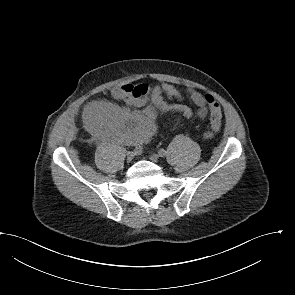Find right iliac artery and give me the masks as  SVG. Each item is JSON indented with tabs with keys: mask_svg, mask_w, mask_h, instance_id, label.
I'll list each match as a JSON object with an SVG mask.
<instances>
[{
	"mask_svg": "<svg viewBox=\"0 0 295 295\" xmlns=\"http://www.w3.org/2000/svg\"><path fill=\"white\" fill-rule=\"evenodd\" d=\"M135 152L136 153H141L142 152V146L141 145H136L135 146Z\"/></svg>",
	"mask_w": 295,
	"mask_h": 295,
	"instance_id": "obj_1",
	"label": "right iliac artery"
}]
</instances>
